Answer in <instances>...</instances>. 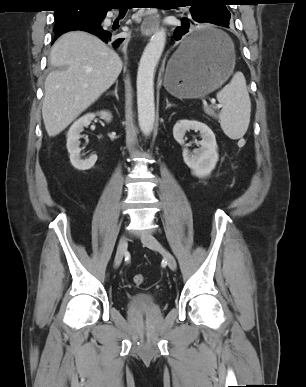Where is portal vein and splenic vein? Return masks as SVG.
Segmentation results:
<instances>
[{"mask_svg": "<svg viewBox=\"0 0 306 387\" xmlns=\"http://www.w3.org/2000/svg\"><path fill=\"white\" fill-rule=\"evenodd\" d=\"M216 107H217L218 109H220V108L222 107V105L218 104Z\"/></svg>", "mask_w": 306, "mask_h": 387, "instance_id": "18ae733b", "label": "portal vein and splenic vein"}]
</instances>
